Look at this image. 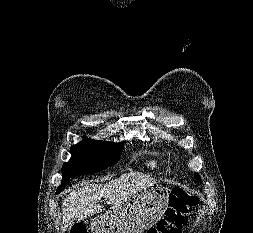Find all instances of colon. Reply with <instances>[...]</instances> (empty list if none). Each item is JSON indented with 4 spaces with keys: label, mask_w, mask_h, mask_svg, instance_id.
Returning <instances> with one entry per match:
<instances>
[{
    "label": "colon",
    "mask_w": 253,
    "mask_h": 233,
    "mask_svg": "<svg viewBox=\"0 0 253 233\" xmlns=\"http://www.w3.org/2000/svg\"><path fill=\"white\" fill-rule=\"evenodd\" d=\"M199 204V198L184 189L174 188L169 193V203L164 216L146 233H181L188 216ZM70 233H87L84 224H74Z\"/></svg>",
    "instance_id": "colon-1"
}]
</instances>
